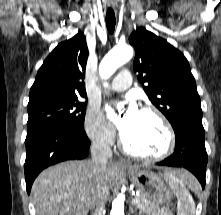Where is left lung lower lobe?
<instances>
[{
  "label": "left lung lower lobe",
  "mask_w": 221,
  "mask_h": 215,
  "mask_svg": "<svg viewBox=\"0 0 221 215\" xmlns=\"http://www.w3.org/2000/svg\"><path fill=\"white\" fill-rule=\"evenodd\" d=\"M174 132L176 136L174 153L156 165L186 168L198 178L204 189L207 153L202 121L183 119Z\"/></svg>",
  "instance_id": "left-lung-lower-lobe-1"
}]
</instances>
